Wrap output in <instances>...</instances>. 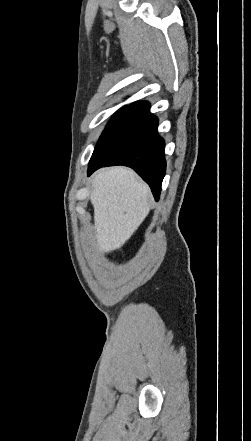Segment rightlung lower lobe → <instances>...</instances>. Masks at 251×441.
Instances as JSON below:
<instances>
[{"instance_id": "right-lung-lower-lobe-1", "label": "right lung lower lobe", "mask_w": 251, "mask_h": 441, "mask_svg": "<svg viewBox=\"0 0 251 441\" xmlns=\"http://www.w3.org/2000/svg\"><path fill=\"white\" fill-rule=\"evenodd\" d=\"M149 103L130 104L99 139L89 162L88 175L100 167L124 165L149 184L158 201L166 171L165 142L157 133L158 119Z\"/></svg>"}]
</instances>
